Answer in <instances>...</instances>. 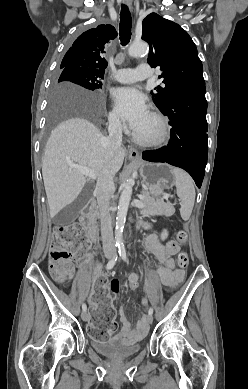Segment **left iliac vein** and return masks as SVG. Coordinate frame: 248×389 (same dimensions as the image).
<instances>
[{
	"label": "left iliac vein",
	"mask_w": 248,
	"mask_h": 389,
	"mask_svg": "<svg viewBox=\"0 0 248 389\" xmlns=\"http://www.w3.org/2000/svg\"><path fill=\"white\" fill-rule=\"evenodd\" d=\"M147 322H148L149 324H151V323L153 322V316H152V315H148V317H147Z\"/></svg>",
	"instance_id": "1"
}]
</instances>
